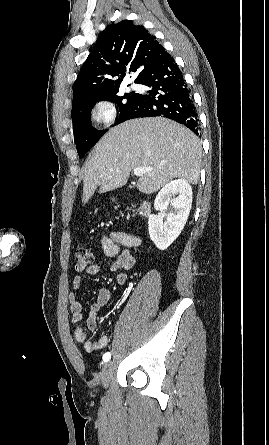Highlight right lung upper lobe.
<instances>
[{
  "instance_id": "right-lung-upper-lobe-1",
  "label": "right lung upper lobe",
  "mask_w": 269,
  "mask_h": 445,
  "mask_svg": "<svg viewBox=\"0 0 269 445\" xmlns=\"http://www.w3.org/2000/svg\"><path fill=\"white\" fill-rule=\"evenodd\" d=\"M169 56L143 26L131 20L108 25L77 76L73 107L119 89L126 71L136 72L134 82L138 83L148 70Z\"/></svg>"
}]
</instances>
